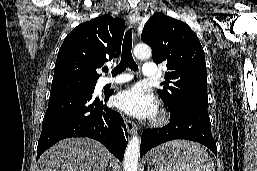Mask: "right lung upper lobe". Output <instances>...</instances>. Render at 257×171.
I'll list each match as a JSON object with an SVG mask.
<instances>
[{
  "instance_id": "cb5924a9",
  "label": "right lung upper lobe",
  "mask_w": 257,
  "mask_h": 171,
  "mask_svg": "<svg viewBox=\"0 0 257 171\" xmlns=\"http://www.w3.org/2000/svg\"><path fill=\"white\" fill-rule=\"evenodd\" d=\"M124 28V19L110 14L77 26L59 50L52 86L96 83V69L119 56Z\"/></svg>"
}]
</instances>
